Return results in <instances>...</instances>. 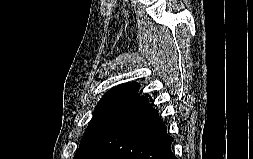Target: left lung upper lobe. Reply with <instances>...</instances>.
Listing matches in <instances>:
<instances>
[{"label":"left lung upper lobe","instance_id":"1","mask_svg":"<svg viewBox=\"0 0 253 159\" xmlns=\"http://www.w3.org/2000/svg\"><path fill=\"white\" fill-rule=\"evenodd\" d=\"M138 90V83L132 82L120 84L106 92L95 108L93 117L85 130L84 137L74 159L87 158L91 147L100 137L108 123L139 97Z\"/></svg>","mask_w":253,"mask_h":159}]
</instances>
